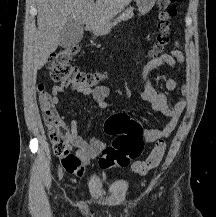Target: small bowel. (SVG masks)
Segmentation results:
<instances>
[{
	"instance_id": "obj_1",
	"label": "small bowel",
	"mask_w": 216,
	"mask_h": 217,
	"mask_svg": "<svg viewBox=\"0 0 216 217\" xmlns=\"http://www.w3.org/2000/svg\"><path fill=\"white\" fill-rule=\"evenodd\" d=\"M176 46V49L163 53L160 57L150 61L145 66L142 73V87L139 92L141 98L149 102L154 110L162 113L168 118V122L161 129H143V138L146 142L160 141L169 137L175 130L186 106L184 100H178L170 107L168 94L157 91L150 79V75L153 71L161 69L162 75H169L165 80L166 89L170 93H174L177 88V82L170 74L174 70L176 62L182 63L184 61V56L179 49V43H176ZM64 91L65 87L63 85H56L52 88L51 95L54 106H57L60 103L59 96ZM77 92L83 96L90 97L98 107L102 109L106 108L107 105L105 99L110 93V90L107 87L78 88ZM185 93L186 88L182 87V94ZM68 139L75 148V155L80 161L82 172L83 167L89 166L106 147V143L96 137H90L88 139L83 138L78 132L76 120L70 122Z\"/></svg>"
}]
</instances>
